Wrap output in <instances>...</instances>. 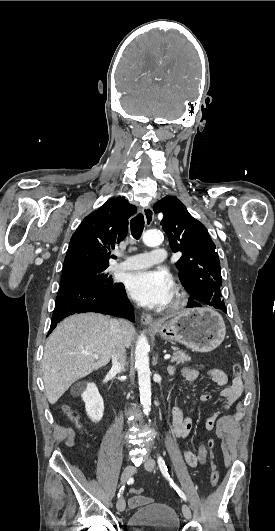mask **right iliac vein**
Returning <instances> with one entry per match:
<instances>
[{
  "instance_id": "1",
  "label": "right iliac vein",
  "mask_w": 275,
  "mask_h": 531,
  "mask_svg": "<svg viewBox=\"0 0 275 531\" xmlns=\"http://www.w3.org/2000/svg\"><path fill=\"white\" fill-rule=\"evenodd\" d=\"M135 471H136V469H135V467L132 464L127 465L124 468L122 476H121L122 484H125L126 481H128L132 477V475L135 473ZM116 506H117L118 511H120V512H123L125 510L126 503H125V500H124L123 497H120L118 499Z\"/></svg>"
}]
</instances>
